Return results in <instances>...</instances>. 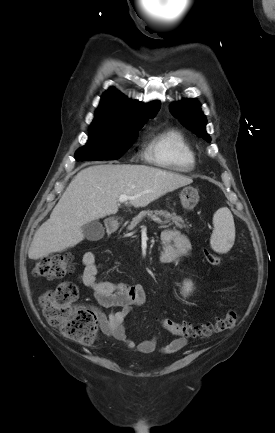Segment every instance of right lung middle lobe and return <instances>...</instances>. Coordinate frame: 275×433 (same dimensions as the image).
<instances>
[{
  "mask_svg": "<svg viewBox=\"0 0 275 433\" xmlns=\"http://www.w3.org/2000/svg\"><path fill=\"white\" fill-rule=\"evenodd\" d=\"M144 123L104 124L93 122L89 127L88 142L76 151L75 159L78 161L119 159L137 138Z\"/></svg>",
  "mask_w": 275,
  "mask_h": 433,
  "instance_id": "dd1d6c3e",
  "label": "right lung middle lobe"
}]
</instances>
